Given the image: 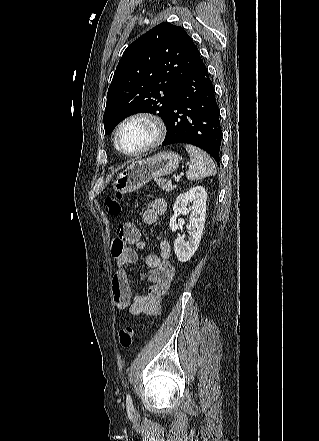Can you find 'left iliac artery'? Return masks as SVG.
<instances>
[{
    "mask_svg": "<svg viewBox=\"0 0 319 441\" xmlns=\"http://www.w3.org/2000/svg\"><path fill=\"white\" fill-rule=\"evenodd\" d=\"M126 406H127L128 410H133L134 409L133 402H132L130 394H127V396H126Z\"/></svg>",
    "mask_w": 319,
    "mask_h": 441,
    "instance_id": "1",
    "label": "left iliac artery"
}]
</instances>
